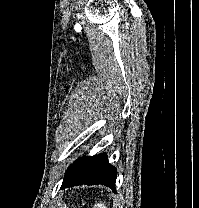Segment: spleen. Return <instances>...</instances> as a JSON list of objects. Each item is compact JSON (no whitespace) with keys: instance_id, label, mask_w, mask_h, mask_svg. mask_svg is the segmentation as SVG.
I'll use <instances>...</instances> for the list:
<instances>
[{"instance_id":"spleen-1","label":"spleen","mask_w":199,"mask_h":208,"mask_svg":"<svg viewBox=\"0 0 199 208\" xmlns=\"http://www.w3.org/2000/svg\"><path fill=\"white\" fill-rule=\"evenodd\" d=\"M94 208H106L105 202L96 203Z\"/></svg>"}]
</instances>
